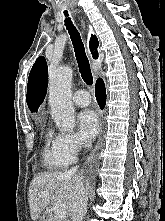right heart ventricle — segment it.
Wrapping results in <instances>:
<instances>
[{
    "label": "right heart ventricle",
    "instance_id": "1",
    "mask_svg": "<svg viewBox=\"0 0 165 221\" xmlns=\"http://www.w3.org/2000/svg\"><path fill=\"white\" fill-rule=\"evenodd\" d=\"M43 158L45 165L50 169H63L72 162L57 151L56 137L50 132L45 136Z\"/></svg>",
    "mask_w": 165,
    "mask_h": 221
}]
</instances>
